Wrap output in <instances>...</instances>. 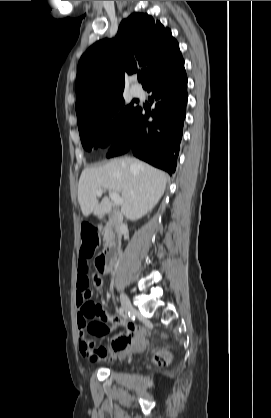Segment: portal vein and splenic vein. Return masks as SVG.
Instances as JSON below:
<instances>
[{"mask_svg":"<svg viewBox=\"0 0 271 418\" xmlns=\"http://www.w3.org/2000/svg\"><path fill=\"white\" fill-rule=\"evenodd\" d=\"M95 193L97 196H101L103 193V189H98L95 191ZM109 197L115 205H122L124 202L123 198L120 197V195L116 192L109 191Z\"/></svg>","mask_w":271,"mask_h":418,"instance_id":"portal-vein-and-splenic-vein-1","label":"portal vein and splenic vein"}]
</instances>
